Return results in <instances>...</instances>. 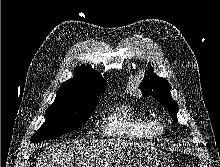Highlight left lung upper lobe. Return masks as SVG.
Instances as JSON below:
<instances>
[{"label":"left lung upper lobe","mask_w":220,"mask_h":167,"mask_svg":"<svg viewBox=\"0 0 220 167\" xmlns=\"http://www.w3.org/2000/svg\"><path fill=\"white\" fill-rule=\"evenodd\" d=\"M143 96H153L157 101L164 105L172 120L177 122V103L171 97V87L166 79L153 74V69L147 72L145 78L139 86Z\"/></svg>","instance_id":"5c2ea615"}]
</instances>
